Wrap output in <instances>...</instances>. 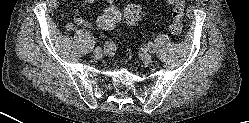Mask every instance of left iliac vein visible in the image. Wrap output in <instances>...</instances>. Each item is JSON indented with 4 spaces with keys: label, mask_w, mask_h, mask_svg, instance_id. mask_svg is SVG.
I'll return each mask as SVG.
<instances>
[{
    "label": "left iliac vein",
    "mask_w": 249,
    "mask_h": 123,
    "mask_svg": "<svg viewBox=\"0 0 249 123\" xmlns=\"http://www.w3.org/2000/svg\"><path fill=\"white\" fill-rule=\"evenodd\" d=\"M141 58L146 64L152 63L153 60L152 56L148 52H143Z\"/></svg>",
    "instance_id": "4c4485c4"
}]
</instances>
